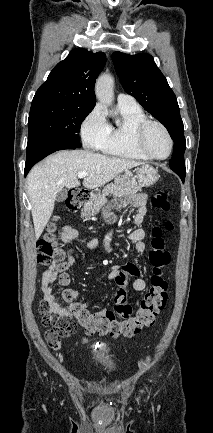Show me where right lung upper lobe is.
Returning a JSON list of instances; mask_svg holds the SVG:
<instances>
[{"label":"right lung upper lobe","instance_id":"1","mask_svg":"<svg viewBox=\"0 0 213 433\" xmlns=\"http://www.w3.org/2000/svg\"><path fill=\"white\" fill-rule=\"evenodd\" d=\"M105 63L103 52L73 49L66 59L54 67L33 100L69 102L94 108V85Z\"/></svg>","mask_w":213,"mask_h":433}]
</instances>
